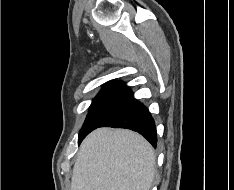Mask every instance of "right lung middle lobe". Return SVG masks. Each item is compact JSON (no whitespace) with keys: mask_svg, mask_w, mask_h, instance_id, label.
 I'll list each match as a JSON object with an SVG mask.
<instances>
[{"mask_svg":"<svg viewBox=\"0 0 234 190\" xmlns=\"http://www.w3.org/2000/svg\"><path fill=\"white\" fill-rule=\"evenodd\" d=\"M126 85L122 82L106 84L93 99L89 113L83 124L79 137L89 134L107 118L122 96Z\"/></svg>","mask_w":234,"mask_h":190,"instance_id":"dd1d6c3e","label":"right lung middle lobe"}]
</instances>
